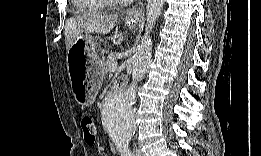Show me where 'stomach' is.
Returning a JSON list of instances; mask_svg holds the SVG:
<instances>
[{"instance_id": "obj_1", "label": "stomach", "mask_w": 261, "mask_h": 156, "mask_svg": "<svg viewBox=\"0 0 261 156\" xmlns=\"http://www.w3.org/2000/svg\"><path fill=\"white\" fill-rule=\"evenodd\" d=\"M140 20L136 12H132L126 20V25L133 29ZM102 41L92 35H80L67 51V66L70 83L75 100L82 106L94 103L101 85L102 59L96 48ZM85 56L84 67H78L79 58Z\"/></svg>"}]
</instances>
